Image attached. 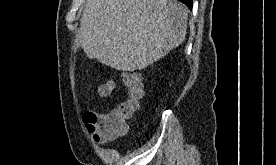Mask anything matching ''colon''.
<instances>
[{
  "instance_id": "1",
  "label": "colon",
  "mask_w": 276,
  "mask_h": 165,
  "mask_svg": "<svg viewBox=\"0 0 276 165\" xmlns=\"http://www.w3.org/2000/svg\"><path fill=\"white\" fill-rule=\"evenodd\" d=\"M124 84L128 90V99L105 114L87 111L83 119L87 130L92 134L94 140H108L114 136L124 133L134 113L138 110L144 96L143 84L138 73L130 72L125 75ZM114 85L111 81L98 86L97 93L100 96H109Z\"/></svg>"
}]
</instances>
